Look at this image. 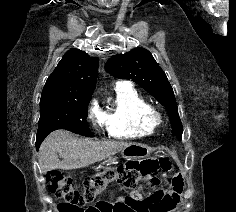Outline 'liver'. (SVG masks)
I'll return each mask as SVG.
<instances>
[{"label":"liver","mask_w":236,"mask_h":212,"mask_svg":"<svg viewBox=\"0 0 236 212\" xmlns=\"http://www.w3.org/2000/svg\"><path fill=\"white\" fill-rule=\"evenodd\" d=\"M132 143L93 141L76 138L68 131L52 132L39 149V165L43 172L55 169H78L110 158ZM58 154L62 160L59 159Z\"/></svg>","instance_id":"obj_1"}]
</instances>
